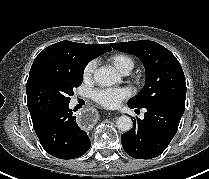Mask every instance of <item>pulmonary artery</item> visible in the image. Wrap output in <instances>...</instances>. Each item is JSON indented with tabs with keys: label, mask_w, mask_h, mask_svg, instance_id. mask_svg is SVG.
I'll use <instances>...</instances> for the list:
<instances>
[{
	"label": "pulmonary artery",
	"mask_w": 209,
	"mask_h": 179,
	"mask_svg": "<svg viewBox=\"0 0 209 179\" xmlns=\"http://www.w3.org/2000/svg\"><path fill=\"white\" fill-rule=\"evenodd\" d=\"M122 74H127V72H124V73H122Z\"/></svg>",
	"instance_id": "e3ab8cb5"
}]
</instances>
